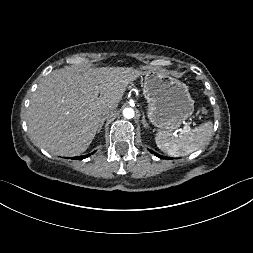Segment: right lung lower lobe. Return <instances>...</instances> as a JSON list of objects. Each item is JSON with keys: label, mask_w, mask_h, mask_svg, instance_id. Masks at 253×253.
<instances>
[{"label": "right lung lower lobe", "mask_w": 253, "mask_h": 253, "mask_svg": "<svg viewBox=\"0 0 253 253\" xmlns=\"http://www.w3.org/2000/svg\"><path fill=\"white\" fill-rule=\"evenodd\" d=\"M93 153H94V152H93ZM91 154H92V153H91ZM91 154L84 155V156H79V157H74V159L81 160V159L87 158V157L90 156Z\"/></svg>", "instance_id": "1"}]
</instances>
